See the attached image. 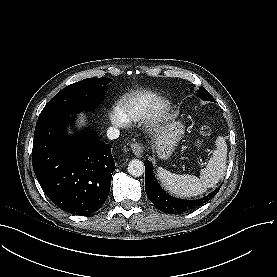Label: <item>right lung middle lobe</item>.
<instances>
[{
  "mask_svg": "<svg viewBox=\"0 0 277 277\" xmlns=\"http://www.w3.org/2000/svg\"><path fill=\"white\" fill-rule=\"evenodd\" d=\"M109 78H88L71 84L58 92L44 107L38 120L54 115H74L97 107Z\"/></svg>",
  "mask_w": 277,
  "mask_h": 277,
  "instance_id": "obj_1",
  "label": "right lung middle lobe"
}]
</instances>
